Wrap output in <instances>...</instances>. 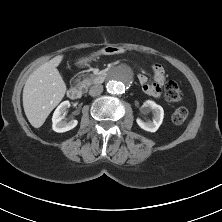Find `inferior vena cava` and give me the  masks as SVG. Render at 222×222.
<instances>
[{"mask_svg":"<svg viewBox=\"0 0 222 222\" xmlns=\"http://www.w3.org/2000/svg\"><path fill=\"white\" fill-rule=\"evenodd\" d=\"M102 92H103V86L100 84L93 85L89 90V94L93 97L100 95Z\"/></svg>","mask_w":222,"mask_h":222,"instance_id":"1","label":"inferior vena cava"}]
</instances>
